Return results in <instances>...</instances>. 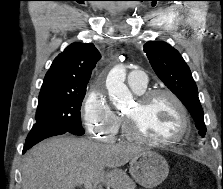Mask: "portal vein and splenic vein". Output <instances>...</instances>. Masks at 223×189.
<instances>
[{
    "mask_svg": "<svg viewBox=\"0 0 223 189\" xmlns=\"http://www.w3.org/2000/svg\"><path fill=\"white\" fill-rule=\"evenodd\" d=\"M84 188L85 189H96L97 187L95 185H93L92 182L87 181L84 183Z\"/></svg>",
    "mask_w": 223,
    "mask_h": 189,
    "instance_id": "18ae733b",
    "label": "portal vein and splenic vein"
}]
</instances>
